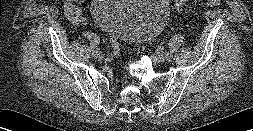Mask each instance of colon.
Instances as JSON below:
<instances>
[{
  "mask_svg": "<svg viewBox=\"0 0 253 131\" xmlns=\"http://www.w3.org/2000/svg\"><path fill=\"white\" fill-rule=\"evenodd\" d=\"M189 0H172V6L175 9H180L183 7ZM222 0H207V4L209 6H216L221 3ZM111 44L113 47L114 54L117 55L119 53V44L115 38H111Z\"/></svg>",
  "mask_w": 253,
  "mask_h": 131,
  "instance_id": "colon-1",
  "label": "colon"
}]
</instances>
